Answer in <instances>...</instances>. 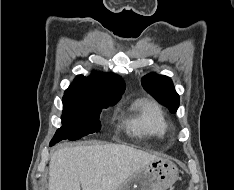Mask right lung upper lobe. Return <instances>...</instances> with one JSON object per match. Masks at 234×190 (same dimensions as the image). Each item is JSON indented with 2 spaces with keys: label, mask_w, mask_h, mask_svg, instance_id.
<instances>
[{
  "label": "right lung upper lobe",
  "mask_w": 234,
  "mask_h": 190,
  "mask_svg": "<svg viewBox=\"0 0 234 190\" xmlns=\"http://www.w3.org/2000/svg\"><path fill=\"white\" fill-rule=\"evenodd\" d=\"M125 84L120 76L94 72L89 77L78 75L63 98L97 103H116Z\"/></svg>",
  "instance_id": "1"
}]
</instances>
